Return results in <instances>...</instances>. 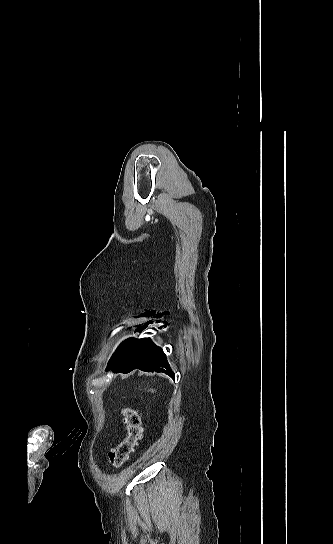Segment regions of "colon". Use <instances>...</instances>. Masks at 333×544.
Segmentation results:
<instances>
[{
  "label": "colon",
  "mask_w": 333,
  "mask_h": 544,
  "mask_svg": "<svg viewBox=\"0 0 333 544\" xmlns=\"http://www.w3.org/2000/svg\"><path fill=\"white\" fill-rule=\"evenodd\" d=\"M121 413L126 425L127 435L107 455L108 463L113 469H119L124 466L130 455L136 450L143 433L141 415L137 410L131 407H124Z\"/></svg>",
  "instance_id": "colon-1"
}]
</instances>
